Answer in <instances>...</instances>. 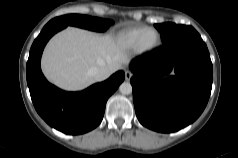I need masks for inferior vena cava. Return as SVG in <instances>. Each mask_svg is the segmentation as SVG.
<instances>
[{"label":"inferior vena cava","instance_id":"602c4592","mask_svg":"<svg viewBox=\"0 0 238 158\" xmlns=\"http://www.w3.org/2000/svg\"><path fill=\"white\" fill-rule=\"evenodd\" d=\"M89 75L96 81H103L110 76V71L106 67H93L89 70Z\"/></svg>","mask_w":238,"mask_h":158}]
</instances>
